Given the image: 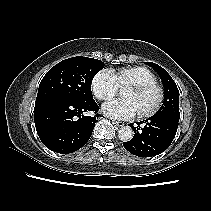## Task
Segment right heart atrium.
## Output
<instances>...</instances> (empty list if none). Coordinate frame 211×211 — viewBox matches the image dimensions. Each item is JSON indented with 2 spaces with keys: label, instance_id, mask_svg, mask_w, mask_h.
I'll list each match as a JSON object with an SVG mask.
<instances>
[{
  "label": "right heart atrium",
  "instance_id": "obj_1",
  "mask_svg": "<svg viewBox=\"0 0 211 211\" xmlns=\"http://www.w3.org/2000/svg\"><path fill=\"white\" fill-rule=\"evenodd\" d=\"M118 87L114 74L107 69L97 72L91 80V90L100 101L112 99L117 93Z\"/></svg>",
  "mask_w": 211,
  "mask_h": 211
}]
</instances>
